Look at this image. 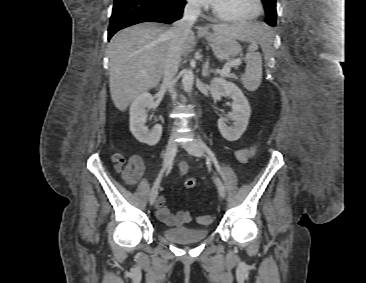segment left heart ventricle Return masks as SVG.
Instances as JSON below:
<instances>
[{"label": "left heart ventricle", "mask_w": 366, "mask_h": 283, "mask_svg": "<svg viewBox=\"0 0 366 283\" xmlns=\"http://www.w3.org/2000/svg\"><path fill=\"white\" fill-rule=\"evenodd\" d=\"M216 9L229 16L244 17L254 13L255 0H216Z\"/></svg>", "instance_id": "1"}]
</instances>
